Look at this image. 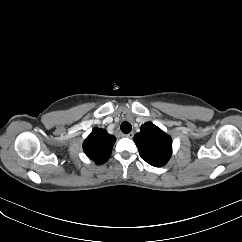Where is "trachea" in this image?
<instances>
[{"label": "trachea", "instance_id": "trachea-1", "mask_svg": "<svg viewBox=\"0 0 242 242\" xmlns=\"http://www.w3.org/2000/svg\"><path fill=\"white\" fill-rule=\"evenodd\" d=\"M121 131L125 134H128L130 133V131L132 130V126L129 122H126L124 121L122 124H121Z\"/></svg>", "mask_w": 242, "mask_h": 242}]
</instances>
